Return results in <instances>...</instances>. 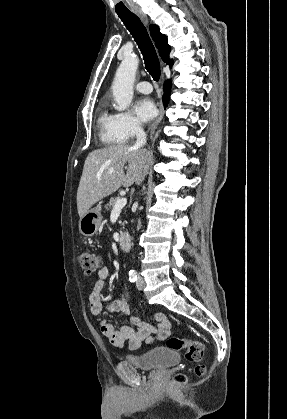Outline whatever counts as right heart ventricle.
Wrapping results in <instances>:
<instances>
[{"instance_id":"e07e8e85","label":"right heart ventricle","mask_w":287,"mask_h":419,"mask_svg":"<svg viewBox=\"0 0 287 419\" xmlns=\"http://www.w3.org/2000/svg\"><path fill=\"white\" fill-rule=\"evenodd\" d=\"M97 124L99 138L105 145L114 146L125 142L117 131L115 115L107 109L106 105H103L99 112Z\"/></svg>"}]
</instances>
